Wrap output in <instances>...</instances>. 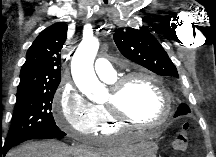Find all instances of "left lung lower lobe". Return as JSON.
Listing matches in <instances>:
<instances>
[{
  "mask_svg": "<svg viewBox=\"0 0 216 157\" xmlns=\"http://www.w3.org/2000/svg\"><path fill=\"white\" fill-rule=\"evenodd\" d=\"M182 107H188L185 104H181L178 108V110L175 113V116H180V115H184L186 112L185 111H181ZM187 114V113H186Z\"/></svg>",
  "mask_w": 216,
  "mask_h": 157,
  "instance_id": "1",
  "label": "left lung lower lobe"
}]
</instances>
